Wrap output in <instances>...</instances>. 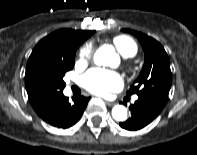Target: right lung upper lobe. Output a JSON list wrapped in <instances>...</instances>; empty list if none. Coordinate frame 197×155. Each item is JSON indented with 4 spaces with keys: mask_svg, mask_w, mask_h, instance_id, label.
<instances>
[{
    "mask_svg": "<svg viewBox=\"0 0 197 155\" xmlns=\"http://www.w3.org/2000/svg\"><path fill=\"white\" fill-rule=\"evenodd\" d=\"M93 33L94 31H78L72 29L57 30L40 40L30 56L32 57L40 51L79 47ZM58 96L44 97L28 93L30 104L38 115H40Z\"/></svg>",
    "mask_w": 197,
    "mask_h": 155,
    "instance_id": "obj_1",
    "label": "right lung upper lobe"
}]
</instances>
